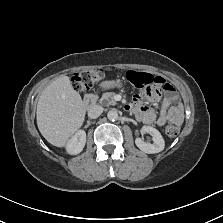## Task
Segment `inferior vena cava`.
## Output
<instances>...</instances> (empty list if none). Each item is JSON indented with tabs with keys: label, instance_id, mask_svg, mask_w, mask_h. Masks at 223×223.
<instances>
[{
	"label": "inferior vena cava",
	"instance_id": "inferior-vena-cava-1",
	"mask_svg": "<svg viewBox=\"0 0 223 223\" xmlns=\"http://www.w3.org/2000/svg\"><path fill=\"white\" fill-rule=\"evenodd\" d=\"M103 108L99 105H92L88 109V116L91 119H95L101 115Z\"/></svg>",
	"mask_w": 223,
	"mask_h": 223
}]
</instances>
